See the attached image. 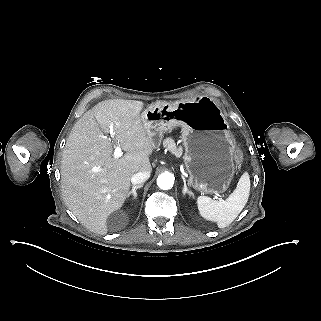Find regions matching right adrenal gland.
<instances>
[{
	"label": "right adrenal gland",
	"mask_w": 321,
	"mask_h": 321,
	"mask_svg": "<svg viewBox=\"0 0 321 321\" xmlns=\"http://www.w3.org/2000/svg\"><path fill=\"white\" fill-rule=\"evenodd\" d=\"M142 187H143V184H140V185H137V186H133L132 190L130 192H128L126 198H129L130 195H132L133 199H136L137 198V189L142 188Z\"/></svg>",
	"instance_id": "obj_1"
}]
</instances>
